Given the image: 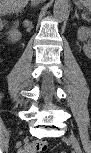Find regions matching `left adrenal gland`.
Listing matches in <instances>:
<instances>
[{
	"label": "left adrenal gland",
	"mask_w": 91,
	"mask_h": 153,
	"mask_svg": "<svg viewBox=\"0 0 91 153\" xmlns=\"http://www.w3.org/2000/svg\"><path fill=\"white\" fill-rule=\"evenodd\" d=\"M74 17H76L77 19H79V16H78V13H77V9H75Z\"/></svg>",
	"instance_id": "1"
}]
</instances>
